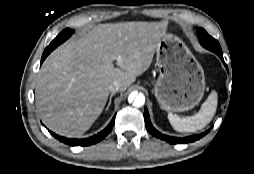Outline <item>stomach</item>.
I'll return each mask as SVG.
<instances>
[{"label":"stomach","instance_id":"0dacf381","mask_svg":"<svg viewBox=\"0 0 254 174\" xmlns=\"http://www.w3.org/2000/svg\"><path fill=\"white\" fill-rule=\"evenodd\" d=\"M159 77L154 94L161 109L184 112L197 105L205 90L204 71L177 36L165 33L156 46Z\"/></svg>","mask_w":254,"mask_h":174}]
</instances>
